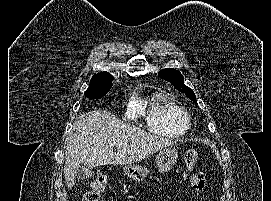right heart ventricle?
<instances>
[{
    "mask_svg": "<svg viewBox=\"0 0 271 201\" xmlns=\"http://www.w3.org/2000/svg\"><path fill=\"white\" fill-rule=\"evenodd\" d=\"M143 112L149 131L158 135L180 136L191 126L187 111L163 93L155 94L150 101L149 111Z\"/></svg>",
    "mask_w": 271,
    "mask_h": 201,
    "instance_id": "obj_1",
    "label": "right heart ventricle"
}]
</instances>
